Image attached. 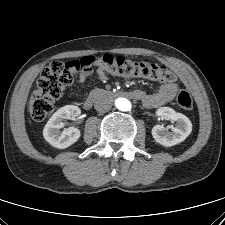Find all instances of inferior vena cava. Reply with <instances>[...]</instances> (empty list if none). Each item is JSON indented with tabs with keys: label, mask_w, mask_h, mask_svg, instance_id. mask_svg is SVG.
Instances as JSON below:
<instances>
[{
	"label": "inferior vena cava",
	"mask_w": 225,
	"mask_h": 225,
	"mask_svg": "<svg viewBox=\"0 0 225 225\" xmlns=\"http://www.w3.org/2000/svg\"><path fill=\"white\" fill-rule=\"evenodd\" d=\"M94 107L99 113H105L111 109L112 103L110 100L100 97L95 101Z\"/></svg>",
	"instance_id": "1"
}]
</instances>
